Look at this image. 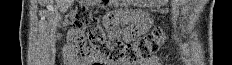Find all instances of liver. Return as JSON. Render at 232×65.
<instances>
[{"label":"liver","mask_w":232,"mask_h":65,"mask_svg":"<svg viewBox=\"0 0 232 65\" xmlns=\"http://www.w3.org/2000/svg\"><path fill=\"white\" fill-rule=\"evenodd\" d=\"M72 3L73 0H56V4L61 11L66 10Z\"/></svg>","instance_id":"liver-1"}]
</instances>
